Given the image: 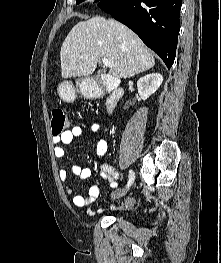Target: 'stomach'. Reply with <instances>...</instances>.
I'll use <instances>...</instances> for the list:
<instances>
[{
    "label": "stomach",
    "mask_w": 221,
    "mask_h": 263,
    "mask_svg": "<svg viewBox=\"0 0 221 263\" xmlns=\"http://www.w3.org/2000/svg\"><path fill=\"white\" fill-rule=\"evenodd\" d=\"M85 81H77L76 87L69 81H64L58 85L57 91L59 96L66 102L74 101L76 97V91L84 92L85 91Z\"/></svg>",
    "instance_id": "obj_1"
}]
</instances>
